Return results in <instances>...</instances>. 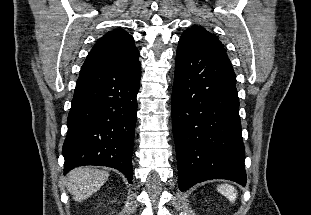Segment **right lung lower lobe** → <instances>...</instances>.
<instances>
[{
  "mask_svg": "<svg viewBox=\"0 0 311 215\" xmlns=\"http://www.w3.org/2000/svg\"><path fill=\"white\" fill-rule=\"evenodd\" d=\"M140 78V62L129 68H81L62 149L65 173L83 165L107 166L132 181Z\"/></svg>",
  "mask_w": 311,
  "mask_h": 215,
  "instance_id": "obj_1",
  "label": "right lung lower lobe"
}]
</instances>
